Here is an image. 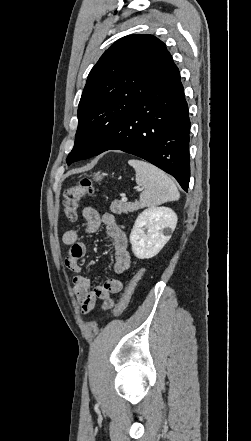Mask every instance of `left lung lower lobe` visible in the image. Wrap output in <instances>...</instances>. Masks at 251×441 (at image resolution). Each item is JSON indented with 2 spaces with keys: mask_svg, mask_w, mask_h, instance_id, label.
<instances>
[{
  "mask_svg": "<svg viewBox=\"0 0 251 441\" xmlns=\"http://www.w3.org/2000/svg\"><path fill=\"white\" fill-rule=\"evenodd\" d=\"M190 120L180 73L173 60L124 117L93 129L88 158L107 150L141 157L171 174L187 191Z\"/></svg>",
  "mask_w": 251,
  "mask_h": 441,
  "instance_id": "1",
  "label": "left lung lower lobe"
}]
</instances>
